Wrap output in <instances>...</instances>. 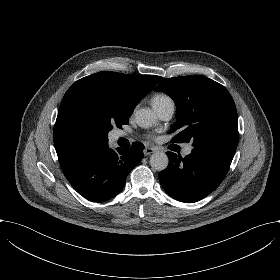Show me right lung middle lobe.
<instances>
[{
	"label": "right lung middle lobe",
	"instance_id": "dd1d6c3e",
	"mask_svg": "<svg viewBox=\"0 0 280 280\" xmlns=\"http://www.w3.org/2000/svg\"><path fill=\"white\" fill-rule=\"evenodd\" d=\"M128 122H129L128 117H122V118L115 117L113 119H108L106 121V130L107 132H109L113 128V125H116L117 127L121 128L123 124H128Z\"/></svg>",
	"mask_w": 280,
	"mask_h": 280
}]
</instances>
